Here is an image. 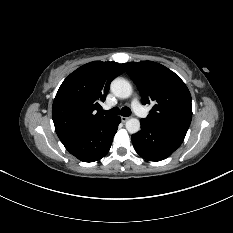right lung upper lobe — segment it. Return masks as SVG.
<instances>
[{
	"label": "right lung upper lobe",
	"mask_w": 233,
	"mask_h": 233,
	"mask_svg": "<svg viewBox=\"0 0 233 233\" xmlns=\"http://www.w3.org/2000/svg\"><path fill=\"white\" fill-rule=\"evenodd\" d=\"M123 69L116 62L93 61L72 72L61 84L52 106V118L59 138L110 119L103 116L104 102L113 78Z\"/></svg>",
	"instance_id": "cb5924a9"
}]
</instances>
